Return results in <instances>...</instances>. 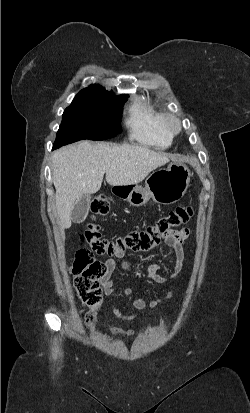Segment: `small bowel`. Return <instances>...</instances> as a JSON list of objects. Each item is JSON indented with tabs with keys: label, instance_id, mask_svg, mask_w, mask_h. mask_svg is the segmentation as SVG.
<instances>
[{
	"label": "small bowel",
	"instance_id": "obj_1",
	"mask_svg": "<svg viewBox=\"0 0 250 413\" xmlns=\"http://www.w3.org/2000/svg\"><path fill=\"white\" fill-rule=\"evenodd\" d=\"M189 229L183 228L181 230L177 229H165L163 231V236L165 245L167 246V251L165 253V258L168 261H172L174 264L173 272L169 276H163L160 272L163 270V265L161 264H151L146 270L145 277L147 279L153 280L156 283L162 284L166 283L171 279H174L182 270L185 262V254H184V246L186 241L189 237ZM114 257L108 258L103 264L105 266L106 272L101 278V285L106 296H113L115 295L114 289V281L112 280L111 276L113 271L116 267L115 259H121L124 256V252H117L113 255ZM121 266L123 269L130 271L131 265L126 262L122 261ZM123 294L125 296H130L132 294L131 289L127 288L123 290ZM173 292L170 290L165 299H169L172 297ZM161 302V299H155L151 301H147L143 298H137L132 301V306L136 310H142L146 307H155ZM113 314L120 320L123 321H132L137 318V315L130 314L126 315L123 314L116 306H112ZM85 323L87 327L94 329L97 326V319H96V311L90 310L85 314ZM109 331L117 336H132L134 334L133 330H124L120 327L111 326L109 327Z\"/></svg>",
	"mask_w": 250,
	"mask_h": 413
}]
</instances>
